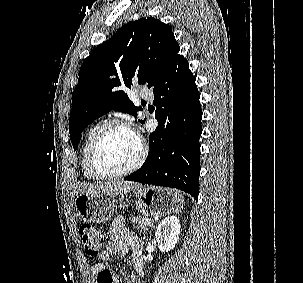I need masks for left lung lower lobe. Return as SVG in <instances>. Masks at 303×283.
Here are the masks:
<instances>
[{"mask_svg":"<svg viewBox=\"0 0 303 283\" xmlns=\"http://www.w3.org/2000/svg\"><path fill=\"white\" fill-rule=\"evenodd\" d=\"M156 130L143 166L125 180L173 187L198 198L202 110L188 61L179 55L153 87Z\"/></svg>","mask_w":303,"mask_h":283,"instance_id":"1","label":"left lung lower lobe"}]
</instances>
